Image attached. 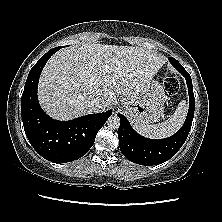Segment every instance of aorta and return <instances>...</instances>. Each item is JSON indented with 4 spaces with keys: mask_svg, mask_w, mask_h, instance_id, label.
<instances>
[{
    "mask_svg": "<svg viewBox=\"0 0 222 222\" xmlns=\"http://www.w3.org/2000/svg\"><path fill=\"white\" fill-rule=\"evenodd\" d=\"M107 125L110 129H117L120 126V119L118 116L114 115L108 118Z\"/></svg>",
    "mask_w": 222,
    "mask_h": 222,
    "instance_id": "1",
    "label": "aorta"
}]
</instances>
